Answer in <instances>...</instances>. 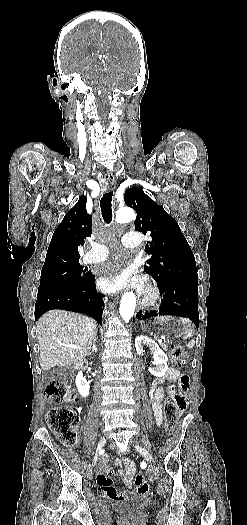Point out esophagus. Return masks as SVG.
Listing matches in <instances>:
<instances>
[{
	"instance_id": "esophagus-1",
	"label": "esophagus",
	"mask_w": 247,
	"mask_h": 525,
	"mask_svg": "<svg viewBox=\"0 0 247 525\" xmlns=\"http://www.w3.org/2000/svg\"><path fill=\"white\" fill-rule=\"evenodd\" d=\"M109 183H110V189L111 190H115V188H116L115 180H109ZM143 315H144V311L142 309L138 308L137 311H136L135 316L140 318Z\"/></svg>"
}]
</instances>
